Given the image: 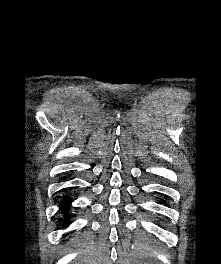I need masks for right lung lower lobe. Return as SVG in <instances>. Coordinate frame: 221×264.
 <instances>
[{
  "label": "right lung lower lobe",
  "mask_w": 221,
  "mask_h": 264,
  "mask_svg": "<svg viewBox=\"0 0 221 264\" xmlns=\"http://www.w3.org/2000/svg\"><path fill=\"white\" fill-rule=\"evenodd\" d=\"M70 202H71L70 198H65V199L62 201V203H61V209H62L63 211H66L67 208H68V206H69V204H70Z\"/></svg>",
  "instance_id": "right-lung-lower-lobe-1"
}]
</instances>
